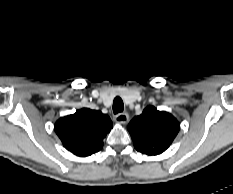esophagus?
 <instances>
[{"instance_id": "34e87169", "label": "esophagus", "mask_w": 233, "mask_h": 194, "mask_svg": "<svg viewBox=\"0 0 233 194\" xmlns=\"http://www.w3.org/2000/svg\"><path fill=\"white\" fill-rule=\"evenodd\" d=\"M129 116L127 113H119L115 116V121L119 124H126L128 122Z\"/></svg>"}]
</instances>
